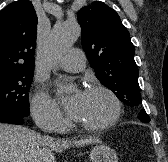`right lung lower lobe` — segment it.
I'll return each mask as SVG.
<instances>
[{
	"instance_id": "obj_1",
	"label": "right lung lower lobe",
	"mask_w": 168,
	"mask_h": 162,
	"mask_svg": "<svg viewBox=\"0 0 168 162\" xmlns=\"http://www.w3.org/2000/svg\"><path fill=\"white\" fill-rule=\"evenodd\" d=\"M23 119V116L0 112V122L3 123L22 125L24 122Z\"/></svg>"
}]
</instances>
